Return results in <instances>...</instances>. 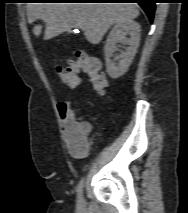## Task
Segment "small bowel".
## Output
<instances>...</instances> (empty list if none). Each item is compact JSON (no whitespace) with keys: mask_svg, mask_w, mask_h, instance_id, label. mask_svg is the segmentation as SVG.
Listing matches in <instances>:
<instances>
[{"mask_svg":"<svg viewBox=\"0 0 188 213\" xmlns=\"http://www.w3.org/2000/svg\"><path fill=\"white\" fill-rule=\"evenodd\" d=\"M57 109L69 152L76 158H86L90 148L88 137L92 131L91 123L77 120L76 109L66 102H60Z\"/></svg>","mask_w":188,"mask_h":213,"instance_id":"c3829d8e","label":"small bowel"}]
</instances>
